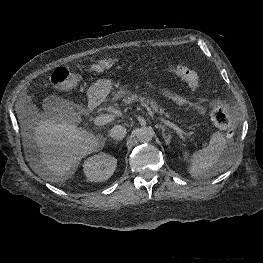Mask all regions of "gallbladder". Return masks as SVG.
I'll return each mask as SVG.
<instances>
[{
    "label": "gallbladder",
    "mask_w": 263,
    "mask_h": 263,
    "mask_svg": "<svg viewBox=\"0 0 263 263\" xmlns=\"http://www.w3.org/2000/svg\"><path fill=\"white\" fill-rule=\"evenodd\" d=\"M44 113L56 122H72L78 119L72 104L56 95L47 96L42 102Z\"/></svg>",
    "instance_id": "gallbladder-1"
}]
</instances>
